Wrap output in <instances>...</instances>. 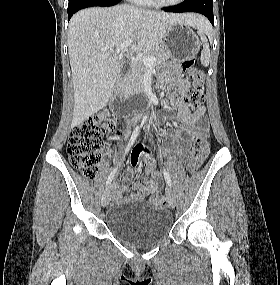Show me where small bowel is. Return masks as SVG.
I'll list each match as a JSON object with an SVG mask.
<instances>
[{"label": "small bowel", "instance_id": "c3829d8e", "mask_svg": "<svg viewBox=\"0 0 280 285\" xmlns=\"http://www.w3.org/2000/svg\"><path fill=\"white\" fill-rule=\"evenodd\" d=\"M174 74L178 73L177 69H174ZM171 84L170 98L172 105L178 111V117L182 124L181 130H176L174 133L175 140L179 143L180 150L185 151L190 143V137L201 134L207 136L208 123L205 117V107L200 106L195 111H191L185 104L183 96L189 88V81L182 75H177L172 78H165ZM136 150H141L142 145L138 144L135 147ZM146 164V171L148 177L144 179L145 184L138 181L134 182V192L131 194V200H142L151 194L157 193L162 187V176L156 170V160L150 153L145 154L143 157ZM139 165V160L132 161L123 179L117 183L113 192V198L116 202L124 201V192L128 187V183L134 175L136 167Z\"/></svg>", "mask_w": 280, "mask_h": 285}]
</instances>
